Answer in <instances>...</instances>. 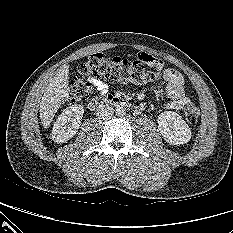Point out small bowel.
<instances>
[{
  "mask_svg": "<svg viewBox=\"0 0 233 233\" xmlns=\"http://www.w3.org/2000/svg\"><path fill=\"white\" fill-rule=\"evenodd\" d=\"M139 57L149 66L154 67L157 70L163 69V63L153 57L152 55L142 53ZM164 80L166 82V94L170 101L167 104V108L172 110H181L184 106L190 103V99L185 93L184 78L174 69L164 70ZM92 86L100 93L105 94L108 91V86L99 79H90ZM140 110L142 109L139 107Z\"/></svg>",
  "mask_w": 233,
  "mask_h": 233,
  "instance_id": "obj_1",
  "label": "small bowel"
}]
</instances>
